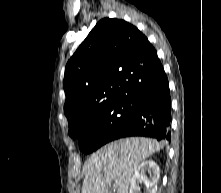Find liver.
<instances>
[{
  "label": "liver",
  "mask_w": 221,
  "mask_h": 193,
  "mask_svg": "<svg viewBox=\"0 0 221 193\" xmlns=\"http://www.w3.org/2000/svg\"><path fill=\"white\" fill-rule=\"evenodd\" d=\"M162 144L149 138H125L111 142L88 159L81 193H128L135 170Z\"/></svg>",
  "instance_id": "1"
}]
</instances>
